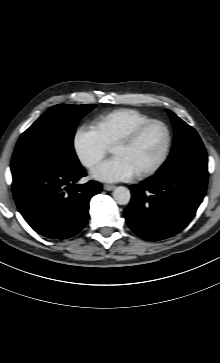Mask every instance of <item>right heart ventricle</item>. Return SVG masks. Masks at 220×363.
<instances>
[{
  "instance_id": "right-heart-ventricle-1",
  "label": "right heart ventricle",
  "mask_w": 220,
  "mask_h": 363,
  "mask_svg": "<svg viewBox=\"0 0 220 363\" xmlns=\"http://www.w3.org/2000/svg\"><path fill=\"white\" fill-rule=\"evenodd\" d=\"M151 119L139 110L124 108L99 116L95 120V127L106 144L112 146L122 135Z\"/></svg>"
}]
</instances>
